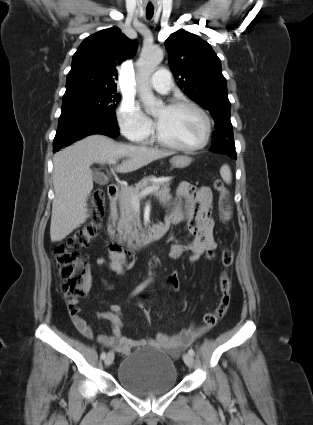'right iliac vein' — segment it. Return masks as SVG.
I'll use <instances>...</instances> for the list:
<instances>
[{
  "instance_id": "1",
  "label": "right iliac vein",
  "mask_w": 313,
  "mask_h": 425,
  "mask_svg": "<svg viewBox=\"0 0 313 425\" xmlns=\"http://www.w3.org/2000/svg\"><path fill=\"white\" fill-rule=\"evenodd\" d=\"M114 360V353L112 351L108 352L105 359H104V363L106 366H110L112 364Z\"/></svg>"
}]
</instances>
